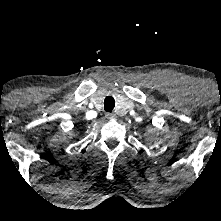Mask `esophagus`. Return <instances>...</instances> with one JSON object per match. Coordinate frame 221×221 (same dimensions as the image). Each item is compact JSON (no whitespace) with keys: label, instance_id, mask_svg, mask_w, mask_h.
I'll list each match as a JSON object with an SVG mask.
<instances>
[{"label":"esophagus","instance_id":"obj_1","mask_svg":"<svg viewBox=\"0 0 221 221\" xmlns=\"http://www.w3.org/2000/svg\"><path fill=\"white\" fill-rule=\"evenodd\" d=\"M106 116L109 120H116L117 118L115 113H108Z\"/></svg>","mask_w":221,"mask_h":221}]
</instances>
